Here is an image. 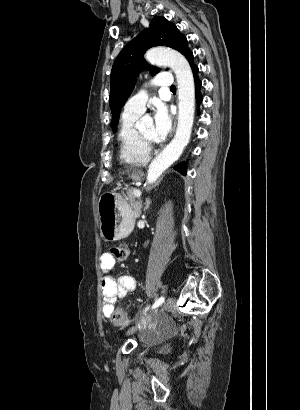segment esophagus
<instances>
[{
  "label": "esophagus",
  "instance_id": "esophagus-1",
  "mask_svg": "<svg viewBox=\"0 0 300 410\" xmlns=\"http://www.w3.org/2000/svg\"><path fill=\"white\" fill-rule=\"evenodd\" d=\"M175 126H176V120H175V122H174V128H175Z\"/></svg>",
  "mask_w": 300,
  "mask_h": 410
}]
</instances>
